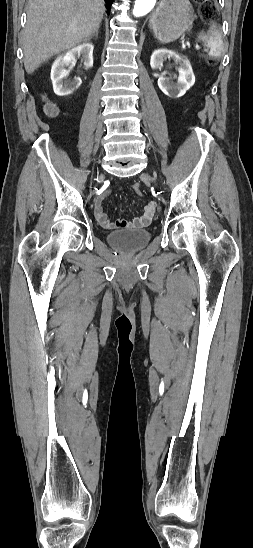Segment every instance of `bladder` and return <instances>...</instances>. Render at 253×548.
I'll use <instances>...</instances> for the list:
<instances>
[{
  "mask_svg": "<svg viewBox=\"0 0 253 548\" xmlns=\"http://www.w3.org/2000/svg\"><path fill=\"white\" fill-rule=\"evenodd\" d=\"M150 238L151 233L147 229L116 230L107 235V241L111 246L126 252L139 250Z\"/></svg>",
  "mask_w": 253,
  "mask_h": 548,
  "instance_id": "obj_1",
  "label": "bladder"
}]
</instances>
